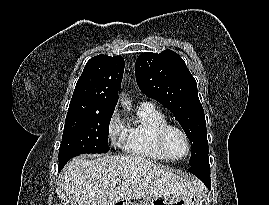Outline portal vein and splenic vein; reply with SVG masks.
I'll list each match as a JSON object with an SVG mask.
<instances>
[{
	"mask_svg": "<svg viewBox=\"0 0 269 205\" xmlns=\"http://www.w3.org/2000/svg\"><path fill=\"white\" fill-rule=\"evenodd\" d=\"M121 183V180L120 179H115L113 182H112V185L113 186H116V185H118V184H120Z\"/></svg>",
	"mask_w": 269,
	"mask_h": 205,
	"instance_id": "18ae733b",
	"label": "portal vein and splenic vein"
}]
</instances>
